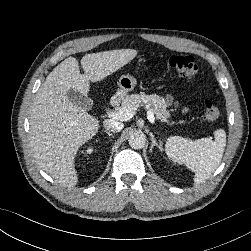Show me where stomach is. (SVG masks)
Segmentation results:
<instances>
[{
	"instance_id": "obj_1",
	"label": "stomach",
	"mask_w": 251,
	"mask_h": 251,
	"mask_svg": "<svg viewBox=\"0 0 251 251\" xmlns=\"http://www.w3.org/2000/svg\"><path fill=\"white\" fill-rule=\"evenodd\" d=\"M137 84V81L134 77L130 75H123L118 80V91L116 95L118 97H125L129 92H131Z\"/></svg>"
}]
</instances>
